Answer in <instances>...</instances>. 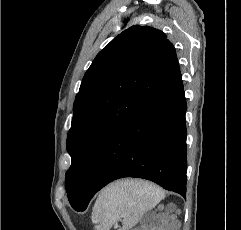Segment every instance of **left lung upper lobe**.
I'll use <instances>...</instances> for the list:
<instances>
[{
  "label": "left lung upper lobe",
  "instance_id": "5c2ea615",
  "mask_svg": "<svg viewBox=\"0 0 241 230\" xmlns=\"http://www.w3.org/2000/svg\"><path fill=\"white\" fill-rule=\"evenodd\" d=\"M178 69L173 44L149 26L126 29L97 54L76 95L67 136L71 205L80 202L104 144Z\"/></svg>",
  "mask_w": 241,
  "mask_h": 230
}]
</instances>
